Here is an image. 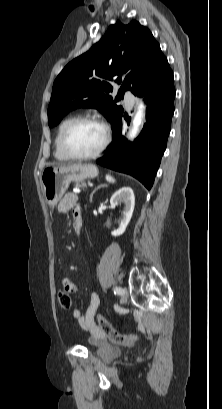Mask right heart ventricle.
<instances>
[{"label": "right heart ventricle", "mask_w": 222, "mask_h": 409, "mask_svg": "<svg viewBox=\"0 0 222 409\" xmlns=\"http://www.w3.org/2000/svg\"><path fill=\"white\" fill-rule=\"evenodd\" d=\"M79 114H70L65 117L58 125L55 141H54V156L59 161H68L69 158L63 153L61 148V139L66 128L73 123L75 120L79 119Z\"/></svg>", "instance_id": "right-heart-ventricle-1"}]
</instances>
